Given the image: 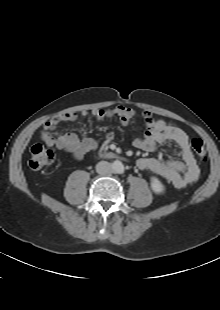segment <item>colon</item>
I'll return each instance as SVG.
<instances>
[{"label":"colon","mask_w":220,"mask_h":310,"mask_svg":"<svg viewBox=\"0 0 220 310\" xmlns=\"http://www.w3.org/2000/svg\"><path fill=\"white\" fill-rule=\"evenodd\" d=\"M192 149L200 160L206 158V147L202 140L194 139L191 143ZM56 154L54 150L45 147L41 143H35L30 148L29 167L40 170L54 163Z\"/></svg>","instance_id":"colon-1"}]
</instances>
